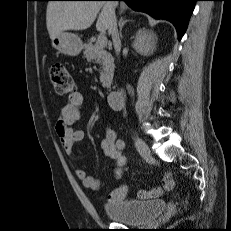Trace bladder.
Masks as SVG:
<instances>
[{"label":"bladder","mask_w":231,"mask_h":231,"mask_svg":"<svg viewBox=\"0 0 231 231\" xmlns=\"http://www.w3.org/2000/svg\"><path fill=\"white\" fill-rule=\"evenodd\" d=\"M164 209L165 202L162 200L143 202L127 199L104 206V212L115 222L140 226L156 220Z\"/></svg>","instance_id":"1"}]
</instances>
